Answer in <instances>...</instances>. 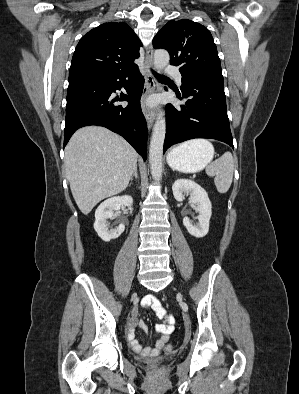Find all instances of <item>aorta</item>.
I'll return each instance as SVG.
<instances>
[{"label":"aorta","mask_w":299,"mask_h":394,"mask_svg":"<svg viewBox=\"0 0 299 394\" xmlns=\"http://www.w3.org/2000/svg\"><path fill=\"white\" fill-rule=\"evenodd\" d=\"M169 53L164 49H158L154 53V67L160 71L166 67L169 63ZM166 133V122L164 118V112L159 111L155 125L153 127L152 137L149 147V162L151 168V174L155 181H159L162 177V156H163V145Z\"/></svg>","instance_id":"aorta-1"}]
</instances>
